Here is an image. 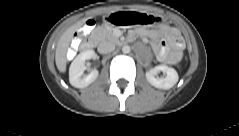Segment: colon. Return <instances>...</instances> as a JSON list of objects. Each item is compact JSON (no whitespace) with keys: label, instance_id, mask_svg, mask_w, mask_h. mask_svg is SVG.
Masks as SVG:
<instances>
[{"label":"colon","instance_id":"1","mask_svg":"<svg viewBox=\"0 0 239 136\" xmlns=\"http://www.w3.org/2000/svg\"><path fill=\"white\" fill-rule=\"evenodd\" d=\"M93 29V22L89 21L87 24L83 27L84 33H89Z\"/></svg>","mask_w":239,"mask_h":136}]
</instances>
